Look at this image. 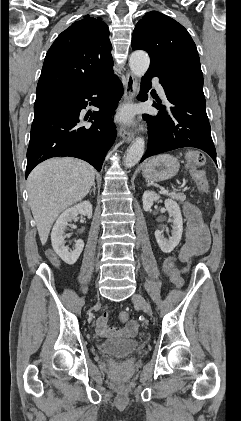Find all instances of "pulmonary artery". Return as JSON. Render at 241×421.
<instances>
[{
  "label": "pulmonary artery",
  "instance_id": "1",
  "mask_svg": "<svg viewBox=\"0 0 241 421\" xmlns=\"http://www.w3.org/2000/svg\"><path fill=\"white\" fill-rule=\"evenodd\" d=\"M153 85L155 87V89L157 90V92L159 93V95H161L162 97L165 96V91L163 86L159 83V81L157 79L153 80Z\"/></svg>",
  "mask_w": 241,
  "mask_h": 421
}]
</instances>
